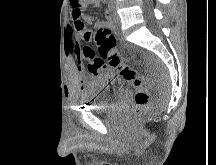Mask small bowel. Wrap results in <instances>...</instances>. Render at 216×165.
I'll return each instance as SVG.
<instances>
[{
    "instance_id": "small-bowel-1",
    "label": "small bowel",
    "mask_w": 216,
    "mask_h": 165,
    "mask_svg": "<svg viewBox=\"0 0 216 165\" xmlns=\"http://www.w3.org/2000/svg\"><path fill=\"white\" fill-rule=\"evenodd\" d=\"M102 0H86V6L99 5ZM92 17L83 13V8H72V17L67 29V42L71 53H74L78 63L82 62L83 57L80 49V39L85 42H91L92 32L87 30L84 22L91 23ZM97 27H110L111 23L107 17L96 22Z\"/></svg>"
}]
</instances>
